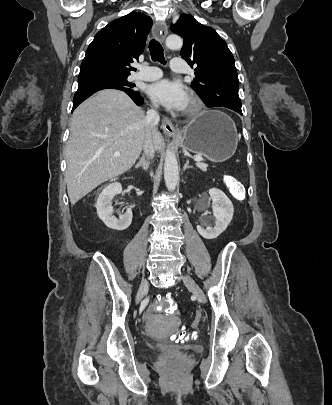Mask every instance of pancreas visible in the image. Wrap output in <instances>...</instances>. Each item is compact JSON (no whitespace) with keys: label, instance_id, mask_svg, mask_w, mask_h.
<instances>
[{"label":"pancreas","instance_id":"cf45deb5","mask_svg":"<svg viewBox=\"0 0 332 405\" xmlns=\"http://www.w3.org/2000/svg\"><path fill=\"white\" fill-rule=\"evenodd\" d=\"M197 167L202 171H206V168L208 167V165L205 163L198 162Z\"/></svg>","mask_w":332,"mask_h":405}]
</instances>
